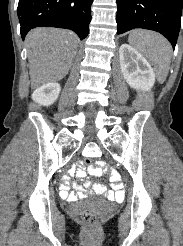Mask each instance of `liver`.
<instances>
[{
  "label": "liver",
  "mask_w": 183,
  "mask_h": 246,
  "mask_svg": "<svg viewBox=\"0 0 183 246\" xmlns=\"http://www.w3.org/2000/svg\"><path fill=\"white\" fill-rule=\"evenodd\" d=\"M79 38L68 30L36 28L26 36L31 87L62 80L77 53Z\"/></svg>",
  "instance_id": "obj_1"
}]
</instances>
